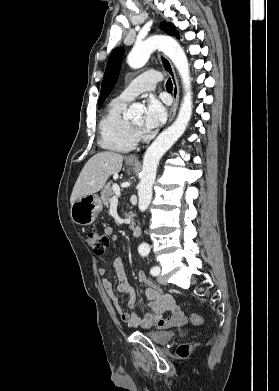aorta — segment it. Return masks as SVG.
Here are the masks:
<instances>
[{
	"label": "aorta",
	"instance_id": "aorta-1",
	"mask_svg": "<svg viewBox=\"0 0 279 391\" xmlns=\"http://www.w3.org/2000/svg\"><path fill=\"white\" fill-rule=\"evenodd\" d=\"M157 49L167 55L178 70L182 79L184 97L176 120L158 135L144 155L141 180L138 186V207L142 212L150 205L159 161L185 132L191 119L193 107L188 59L184 50L175 39L167 36H152L140 43H136L127 57L128 65L133 69L143 67L153 51ZM142 110L143 106L141 104L134 103L130 106L128 112L130 115L135 116L140 114ZM140 248L149 249V246L144 243Z\"/></svg>",
	"mask_w": 279,
	"mask_h": 391
}]
</instances>
